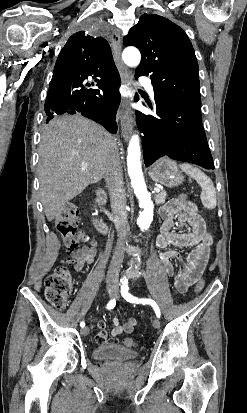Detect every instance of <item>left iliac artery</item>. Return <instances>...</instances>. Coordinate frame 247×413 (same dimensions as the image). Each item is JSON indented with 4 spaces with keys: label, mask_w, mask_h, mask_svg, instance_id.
I'll return each mask as SVG.
<instances>
[{
    "label": "left iliac artery",
    "mask_w": 247,
    "mask_h": 413,
    "mask_svg": "<svg viewBox=\"0 0 247 413\" xmlns=\"http://www.w3.org/2000/svg\"><path fill=\"white\" fill-rule=\"evenodd\" d=\"M128 290H129L128 285L125 284V285L121 286V295L124 299H126V301H128L130 303H136V304L141 303L143 305L150 304L153 307L156 316L158 318H160L161 312H160V309H159L158 305L156 304V302L154 300H152V299H138L137 297H134L133 295H131L128 292Z\"/></svg>",
    "instance_id": "left-iliac-artery-1"
}]
</instances>
